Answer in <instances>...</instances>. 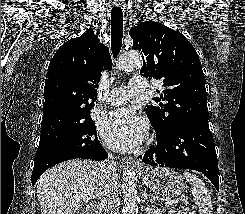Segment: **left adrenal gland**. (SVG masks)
Here are the masks:
<instances>
[{"label": "left adrenal gland", "mask_w": 245, "mask_h": 214, "mask_svg": "<svg viewBox=\"0 0 245 214\" xmlns=\"http://www.w3.org/2000/svg\"><path fill=\"white\" fill-rule=\"evenodd\" d=\"M143 197L144 199L148 200L151 204H155V200L150 195H148L146 188H144L143 190Z\"/></svg>", "instance_id": "obj_1"}]
</instances>
